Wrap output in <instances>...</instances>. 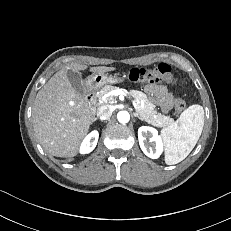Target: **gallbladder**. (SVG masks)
<instances>
[{"instance_id":"obj_1","label":"gallbladder","mask_w":231,"mask_h":231,"mask_svg":"<svg viewBox=\"0 0 231 231\" xmlns=\"http://www.w3.org/2000/svg\"><path fill=\"white\" fill-rule=\"evenodd\" d=\"M67 77L70 81L72 87L80 94L84 93V84L82 80V75L80 72H75L72 70L67 71Z\"/></svg>"}]
</instances>
